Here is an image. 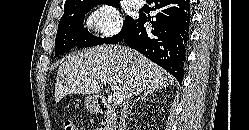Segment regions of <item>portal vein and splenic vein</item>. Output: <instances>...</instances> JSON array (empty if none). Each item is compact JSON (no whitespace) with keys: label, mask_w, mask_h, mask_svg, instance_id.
Listing matches in <instances>:
<instances>
[{"label":"portal vein and splenic vein","mask_w":249,"mask_h":130,"mask_svg":"<svg viewBox=\"0 0 249 130\" xmlns=\"http://www.w3.org/2000/svg\"><path fill=\"white\" fill-rule=\"evenodd\" d=\"M102 82L109 84L115 90L116 84L112 80H102ZM112 101L115 105H119L122 103L123 97L121 91H114Z\"/></svg>","instance_id":"obj_1"}]
</instances>
